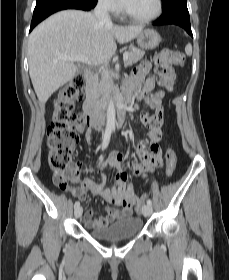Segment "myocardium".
<instances>
[{
    "label": "myocardium",
    "instance_id": "obj_1",
    "mask_svg": "<svg viewBox=\"0 0 229 280\" xmlns=\"http://www.w3.org/2000/svg\"><path fill=\"white\" fill-rule=\"evenodd\" d=\"M163 8H164L163 0H156L155 11L148 16L138 17L135 15H132L131 13H129L127 11L125 6L122 7V12L129 20H131L135 23L147 24V23H150V22L156 20L157 18H159L163 13Z\"/></svg>",
    "mask_w": 229,
    "mask_h": 280
}]
</instances>
